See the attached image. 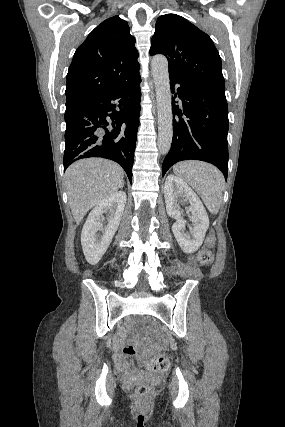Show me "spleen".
I'll use <instances>...</instances> for the list:
<instances>
[{"instance_id":"1","label":"spleen","mask_w":285,"mask_h":427,"mask_svg":"<svg viewBox=\"0 0 285 427\" xmlns=\"http://www.w3.org/2000/svg\"><path fill=\"white\" fill-rule=\"evenodd\" d=\"M173 172L196 190L212 214L219 212L225 180L216 167L205 162L185 161L174 165Z\"/></svg>"}]
</instances>
